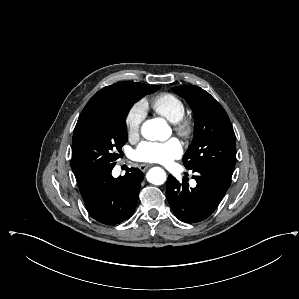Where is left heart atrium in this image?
I'll return each instance as SVG.
<instances>
[{"instance_id":"39dd6f15","label":"left heart atrium","mask_w":299,"mask_h":299,"mask_svg":"<svg viewBox=\"0 0 299 299\" xmlns=\"http://www.w3.org/2000/svg\"><path fill=\"white\" fill-rule=\"evenodd\" d=\"M183 149L176 139L165 142L143 141L132 152L136 161L147 163L170 164L181 157Z\"/></svg>"}]
</instances>
